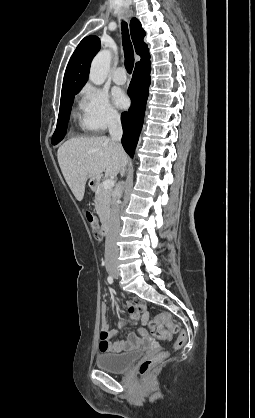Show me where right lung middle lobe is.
Returning <instances> with one entry per match:
<instances>
[{"label": "right lung middle lobe", "instance_id": "dd1d6c3e", "mask_svg": "<svg viewBox=\"0 0 255 418\" xmlns=\"http://www.w3.org/2000/svg\"><path fill=\"white\" fill-rule=\"evenodd\" d=\"M80 90H74L70 92H65L61 94V101H60V110H59V117L57 121L56 130L52 136V144L56 145L59 143L66 134V129L70 117L71 106L73 104V100L75 95Z\"/></svg>", "mask_w": 255, "mask_h": 418}]
</instances>
